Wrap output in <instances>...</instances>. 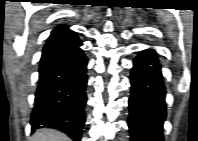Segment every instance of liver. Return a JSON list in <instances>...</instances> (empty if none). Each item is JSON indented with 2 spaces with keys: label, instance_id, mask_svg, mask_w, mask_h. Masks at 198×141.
<instances>
[{
  "label": "liver",
  "instance_id": "liver-1",
  "mask_svg": "<svg viewBox=\"0 0 198 141\" xmlns=\"http://www.w3.org/2000/svg\"><path fill=\"white\" fill-rule=\"evenodd\" d=\"M31 141H70V139L57 130L43 128L33 134Z\"/></svg>",
  "mask_w": 198,
  "mask_h": 141
}]
</instances>
